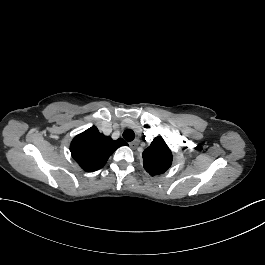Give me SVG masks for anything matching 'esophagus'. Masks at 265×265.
Listing matches in <instances>:
<instances>
[{"label":"esophagus","instance_id":"1","mask_svg":"<svg viewBox=\"0 0 265 265\" xmlns=\"http://www.w3.org/2000/svg\"><path fill=\"white\" fill-rule=\"evenodd\" d=\"M139 143H140L139 138H135L133 141L129 143V145L132 149H137Z\"/></svg>","mask_w":265,"mask_h":265}]
</instances>
